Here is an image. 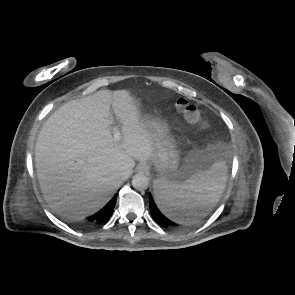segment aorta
<instances>
[{"label":"aorta","mask_w":295,"mask_h":295,"mask_svg":"<svg viewBox=\"0 0 295 295\" xmlns=\"http://www.w3.org/2000/svg\"><path fill=\"white\" fill-rule=\"evenodd\" d=\"M149 185L147 176L142 173H137L132 178V186L137 190H146Z\"/></svg>","instance_id":"obj_1"}]
</instances>
